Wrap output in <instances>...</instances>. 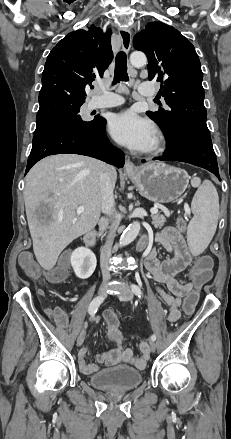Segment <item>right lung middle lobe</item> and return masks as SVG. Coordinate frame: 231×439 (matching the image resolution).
<instances>
[{"instance_id":"dd1d6c3e","label":"right lung middle lobe","mask_w":231,"mask_h":439,"mask_svg":"<svg viewBox=\"0 0 231 439\" xmlns=\"http://www.w3.org/2000/svg\"><path fill=\"white\" fill-rule=\"evenodd\" d=\"M79 112L80 108H76L36 119L37 125L34 135L58 128L87 130L98 124V118H94L92 121H83Z\"/></svg>"}]
</instances>
